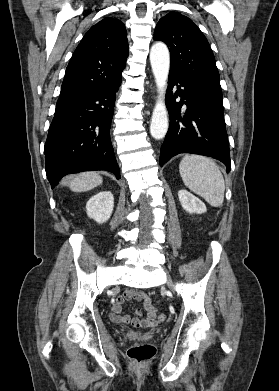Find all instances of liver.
<instances>
[{"instance_id":"6515ba94","label":"liver","mask_w":279,"mask_h":391,"mask_svg":"<svg viewBox=\"0 0 279 391\" xmlns=\"http://www.w3.org/2000/svg\"><path fill=\"white\" fill-rule=\"evenodd\" d=\"M102 177L96 172H84L78 174L66 184L74 192H85L102 184Z\"/></svg>"}]
</instances>
